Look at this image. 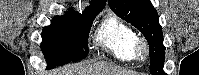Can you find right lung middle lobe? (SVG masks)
<instances>
[{"mask_svg":"<svg viewBox=\"0 0 199 75\" xmlns=\"http://www.w3.org/2000/svg\"><path fill=\"white\" fill-rule=\"evenodd\" d=\"M95 16L84 17L67 13L52 19L51 25L43 29L41 44L48 68L87 56V38Z\"/></svg>","mask_w":199,"mask_h":75,"instance_id":"1","label":"right lung middle lobe"}]
</instances>
